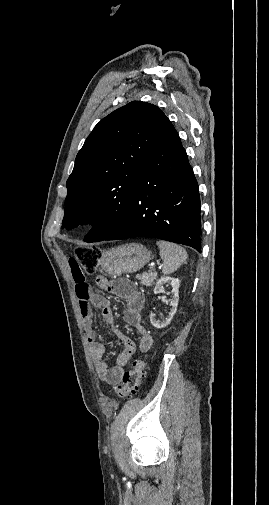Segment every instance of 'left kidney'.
Returning a JSON list of instances; mask_svg holds the SVG:
<instances>
[{
    "label": "left kidney",
    "mask_w": 269,
    "mask_h": 505,
    "mask_svg": "<svg viewBox=\"0 0 269 505\" xmlns=\"http://www.w3.org/2000/svg\"><path fill=\"white\" fill-rule=\"evenodd\" d=\"M164 285H171L172 290V299L170 301V306L171 310L168 314V316L163 319L162 321H159L155 318V314L151 313L150 314V322L151 324L157 328L161 329L166 327L172 320L174 314L176 313L177 306H178V301H179V286H180V280L178 278H173L169 276H164L161 277L157 282L154 287V294H159V293H164Z\"/></svg>",
    "instance_id": "left-kidney-1"
}]
</instances>
